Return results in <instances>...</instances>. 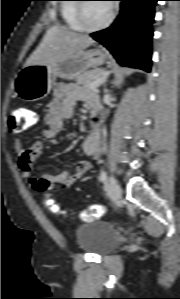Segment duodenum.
<instances>
[{
    "instance_id": "duodenum-1",
    "label": "duodenum",
    "mask_w": 180,
    "mask_h": 299,
    "mask_svg": "<svg viewBox=\"0 0 180 299\" xmlns=\"http://www.w3.org/2000/svg\"><path fill=\"white\" fill-rule=\"evenodd\" d=\"M101 114L99 112L95 113L92 117L91 123L93 128H98L101 121Z\"/></svg>"
}]
</instances>
